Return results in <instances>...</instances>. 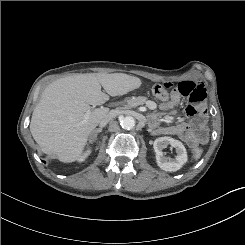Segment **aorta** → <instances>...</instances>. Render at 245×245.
Masks as SVG:
<instances>
[{"label": "aorta", "instance_id": "obj_1", "mask_svg": "<svg viewBox=\"0 0 245 245\" xmlns=\"http://www.w3.org/2000/svg\"><path fill=\"white\" fill-rule=\"evenodd\" d=\"M136 124V121L133 117L131 116H126V117H123L121 120H120V125L123 129H126V130H130L132 129Z\"/></svg>", "mask_w": 245, "mask_h": 245}]
</instances>
